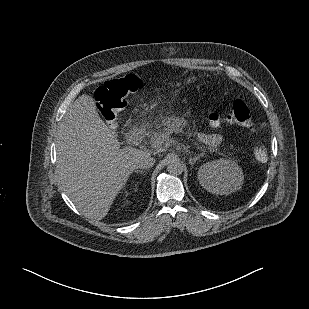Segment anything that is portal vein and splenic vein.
I'll return each instance as SVG.
<instances>
[{"label": "portal vein and splenic vein", "instance_id": "portal-vein-and-splenic-vein-1", "mask_svg": "<svg viewBox=\"0 0 309 309\" xmlns=\"http://www.w3.org/2000/svg\"><path fill=\"white\" fill-rule=\"evenodd\" d=\"M163 143H164L163 140H162V141L156 140V141H154V142L151 144V146H152L153 148H156V147H160Z\"/></svg>", "mask_w": 309, "mask_h": 309}]
</instances>
